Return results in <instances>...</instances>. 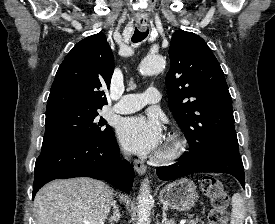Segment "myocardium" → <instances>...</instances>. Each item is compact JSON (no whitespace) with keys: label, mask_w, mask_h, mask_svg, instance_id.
<instances>
[{"label":"myocardium","mask_w":275,"mask_h":224,"mask_svg":"<svg viewBox=\"0 0 275 224\" xmlns=\"http://www.w3.org/2000/svg\"><path fill=\"white\" fill-rule=\"evenodd\" d=\"M186 142L178 134L169 135L162 148L156 154V159L160 162H169L177 159L184 151Z\"/></svg>","instance_id":"f54148a6"}]
</instances>
